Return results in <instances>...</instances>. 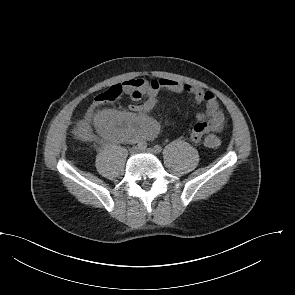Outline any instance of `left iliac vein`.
<instances>
[{
    "instance_id": "1",
    "label": "left iliac vein",
    "mask_w": 295,
    "mask_h": 295,
    "mask_svg": "<svg viewBox=\"0 0 295 295\" xmlns=\"http://www.w3.org/2000/svg\"><path fill=\"white\" fill-rule=\"evenodd\" d=\"M141 150L144 152H147V153H151V154L155 153L154 149L150 148V147H148V148L142 147Z\"/></svg>"
}]
</instances>
